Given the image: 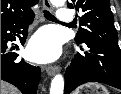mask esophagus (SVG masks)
<instances>
[{"mask_svg":"<svg viewBox=\"0 0 121 94\" xmlns=\"http://www.w3.org/2000/svg\"><path fill=\"white\" fill-rule=\"evenodd\" d=\"M43 8L45 10H49V11H51L53 9L49 0H43ZM45 70L49 76H53L54 74H56L59 71V67L58 66H48V67H46Z\"/></svg>","mask_w":121,"mask_h":94,"instance_id":"obj_1","label":"esophagus"}]
</instances>
